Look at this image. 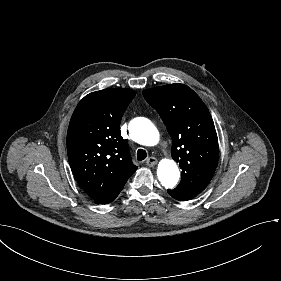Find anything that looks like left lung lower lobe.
<instances>
[{
	"label": "left lung lower lobe",
	"instance_id": "1",
	"mask_svg": "<svg viewBox=\"0 0 281 281\" xmlns=\"http://www.w3.org/2000/svg\"><path fill=\"white\" fill-rule=\"evenodd\" d=\"M168 193L176 200H179V201H187V200H190L192 198H194L195 196L191 195V194H188L186 192H183V191H179V190H168Z\"/></svg>",
	"mask_w": 281,
	"mask_h": 281
}]
</instances>
